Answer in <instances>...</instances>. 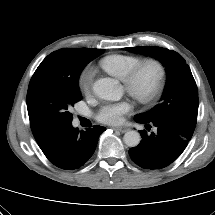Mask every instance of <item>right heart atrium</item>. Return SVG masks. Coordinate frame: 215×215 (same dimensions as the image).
I'll use <instances>...</instances> for the list:
<instances>
[{
  "label": "right heart atrium",
  "mask_w": 215,
  "mask_h": 215,
  "mask_svg": "<svg viewBox=\"0 0 215 215\" xmlns=\"http://www.w3.org/2000/svg\"><path fill=\"white\" fill-rule=\"evenodd\" d=\"M92 81H93V72L88 70L81 74L79 78V88L80 91L87 95L90 93L92 88Z\"/></svg>",
  "instance_id": "right-heart-atrium-1"
}]
</instances>
